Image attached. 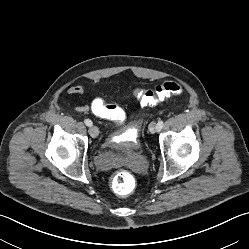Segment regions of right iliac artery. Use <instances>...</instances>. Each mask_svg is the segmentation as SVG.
I'll return each mask as SVG.
<instances>
[{"instance_id":"right-iliac-artery-1","label":"right iliac artery","mask_w":249,"mask_h":249,"mask_svg":"<svg viewBox=\"0 0 249 249\" xmlns=\"http://www.w3.org/2000/svg\"><path fill=\"white\" fill-rule=\"evenodd\" d=\"M85 124L87 125V126H92V121L90 120V119H85Z\"/></svg>"}]
</instances>
